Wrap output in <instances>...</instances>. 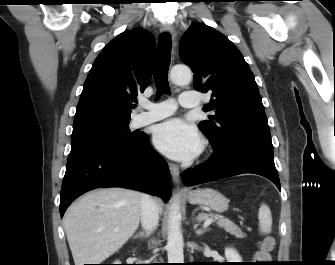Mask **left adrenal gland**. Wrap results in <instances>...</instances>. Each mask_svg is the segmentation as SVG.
<instances>
[{
	"label": "left adrenal gland",
	"instance_id": "a2214340",
	"mask_svg": "<svg viewBox=\"0 0 335 265\" xmlns=\"http://www.w3.org/2000/svg\"><path fill=\"white\" fill-rule=\"evenodd\" d=\"M197 226H198V224H195V225H194V229H195V232H196V234H197L198 236H200V235H202V234H204L205 232H207V231L210 230V228H200V229H197Z\"/></svg>",
	"mask_w": 335,
	"mask_h": 265
}]
</instances>
